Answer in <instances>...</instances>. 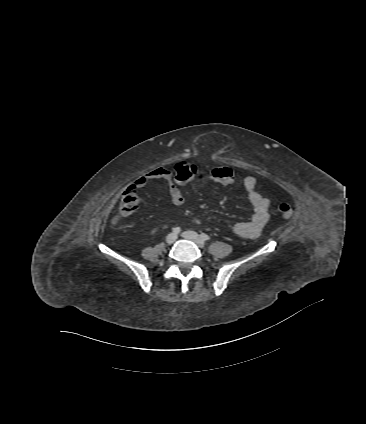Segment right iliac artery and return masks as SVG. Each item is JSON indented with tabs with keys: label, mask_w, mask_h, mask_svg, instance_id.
<instances>
[{
	"label": "right iliac artery",
	"mask_w": 366,
	"mask_h": 424,
	"mask_svg": "<svg viewBox=\"0 0 366 424\" xmlns=\"http://www.w3.org/2000/svg\"><path fill=\"white\" fill-rule=\"evenodd\" d=\"M180 231H181L180 227H176V228L173 229L174 234H178V233H180Z\"/></svg>",
	"instance_id": "obj_1"
}]
</instances>
